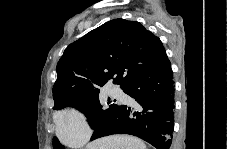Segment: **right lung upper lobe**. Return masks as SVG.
<instances>
[{
  "label": "right lung upper lobe",
  "mask_w": 227,
  "mask_h": 149,
  "mask_svg": "<svg viewBox=\"0 0 227 149\" xmlns=\"http://www.w3.org/2000/svg\"><path fill=\"white\" fill-rule=\"evenodd\" d=\"M166 59L161 40L139 22L111 20L65 49L56 67L54 107L101 88L110 79L123 88Z\"/></svg>",
  "instance_id": "1"
}]
</instances>
